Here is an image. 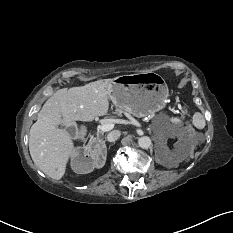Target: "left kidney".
Listing matches in <instances>:
<instances>
[{
    "instance_id": "5707ae66",
    "label": "left kidney",
    "mask_w": 233,
    "mask_h": 233,
    "mask_svg": "<svg viewBox=\"0 0 233 233\" xmlns=\"http://www.w3.org/2000/svg\"><path fill=\"white\" fill-rule=\"evenodd\" d=\"M181 147H182V143H181V141H179L178 142V149H176V152L172 153L170 156V159L175 163H178L182 160V156L180 155V148ZM165 153H166V155H170V151H169L167 146H165Z\"/></svg>"
}]
</instances>
